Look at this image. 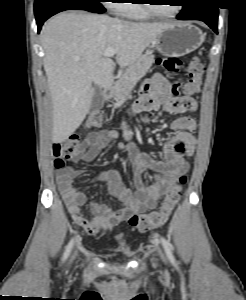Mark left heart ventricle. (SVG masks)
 <instances>
[{
  "mask_svg": "<svg viewBox=\"0 0 246 300\" xmlns=\"http://www.w3.org/2000/svg\"><path fill=\"white\" fill-rule=\"evenodd\" d=\"M161 4L156 5V8L164 14H171L177 9V5H175V1H170V0H159ZM166 3L170 4L167 5ZM165 4V5H162Z\"/></svg>",
  "mask_w": 246,
  "mask_h": 300,
  "instance_id": "1",
  "label": "left heart ventricle"
}]
</instances>
